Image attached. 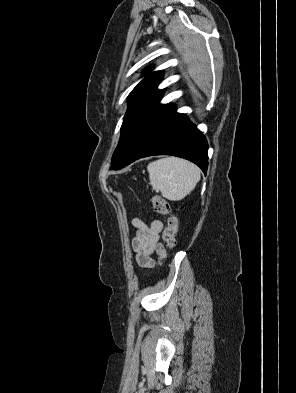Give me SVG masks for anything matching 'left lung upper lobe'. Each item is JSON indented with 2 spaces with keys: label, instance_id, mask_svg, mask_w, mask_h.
Segmentation results:
<instances>
[{
  "label": "left lung upper lobe",
  "instance_id": "obj_1",
  "mask_svg": "<svg viewBox=\"0 0 296 393\" xmlns=\"http://www.w3.org/2000/svg\"><path fill=\"white\" fill-rule=\"evenodd\" d=\"M163 76L157 71L146 76L129 94V107L121 126V137L111 162L114 170L121 169L132 150L152 121L170 104H159L164 90H157Z\"/></svg>",
  "mask_w": 296,
  "mask_h": 393
}]
</instances>
